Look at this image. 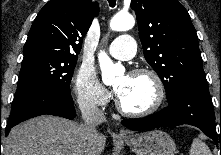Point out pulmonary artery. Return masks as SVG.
<instances>
[{"instance_id":"e3ab8cb5","label":"pulmonary artery","mask_w":221,"mask_h":155,"mask_svg":"<svg viewBox=\"0 0 221 155\" xmlns=\"http://www.w3.org/2000/svg\"><path fill=\"white\" fill-rule=\"evenodd\" d=\"M136 45L134 39L127 34L118 36L109 46V53L119 60H128L135 54Z\"/></svg>"}]
</instances>
